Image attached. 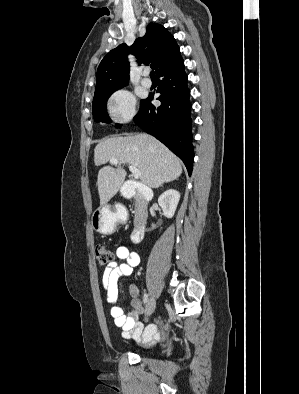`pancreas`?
<instances>
[{
	"instance_id": "pancreas-1",
	"label": "pancreas",
	"mask_w": 299,
	"mask_h": 394,
	"mask_svg": "<svg viewBox=\"0 0 299 394\" xmlns=\"http://www.w3.org/2000/svg\"><path fill=\"white\" fill-rule=\"evenodd\" d=\"M134 213H135V219L137 218L138 214L141 213V209L139 208V204L138 203L135 204V211H134Z\"/></svg>"
}]
</instances>
